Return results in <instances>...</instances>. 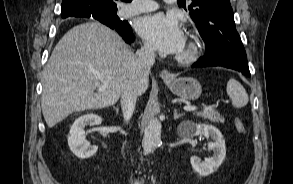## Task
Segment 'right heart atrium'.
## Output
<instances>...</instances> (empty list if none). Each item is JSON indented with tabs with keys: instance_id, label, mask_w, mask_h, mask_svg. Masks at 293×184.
Here are the masks:
<instances>
[{
	"instance_id": "obj_1",
	"label": "right heart atrium",
	"mask_w": 293,
	"mask_h": 184,
	"mask_svg": "<svg viewBox=\"0 0 293 184\" xmlns=\"http://www.w3.org/2000/svg\"><path fill=\"white\" fill-rule=\"evenodd\" d=\"M144 51L147 52V53H151L152 52V48L149 45L146 44L144 46Z\"/></svg>"
}]
</instances>
